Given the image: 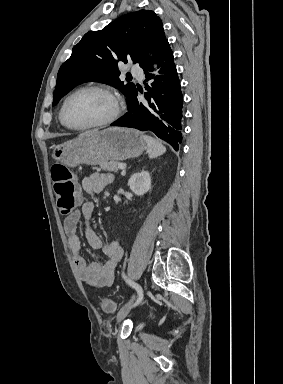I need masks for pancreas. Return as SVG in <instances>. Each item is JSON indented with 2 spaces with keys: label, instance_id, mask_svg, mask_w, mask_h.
<instances>
[{
  "label": "pancreas",
  "instance_id": "pancreas-1",
  "mask_svg": "<svg viewBox=\"0 0 283 384\" xmlns=\"http://www.w3.org/2000/svg\"><path fill=\"white\" fill-rule=\"evenodd\" d=\"M119 164H122V162H105V164H101L100 168L105 172H117Z\"/></svg>",
  "mask_w": 283,
  "mask_h": 384
}]
</instances>
